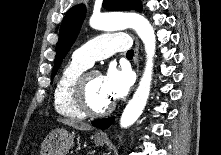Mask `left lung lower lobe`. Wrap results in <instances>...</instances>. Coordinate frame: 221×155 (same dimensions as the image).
I'll list each match as a JSON object with an SVG mask.
<instances>
[{
  "label": "left lung lower lobe",
  "mask_w": 221,
  "mask_h": 155,
  "mask_svg": "<svg viewBox=\"0 0 221 155\" xmlns=\"http://www.w3.org/2000/svg\"><path fill=\"white\" fill-rule=\"evenodd\" d=\"M115 117L98 119L92 122V124L98 128L106 129L108 128L114 121Z\"/></svg>",
  "instance_id": "obj_1"
}]
</instances>
